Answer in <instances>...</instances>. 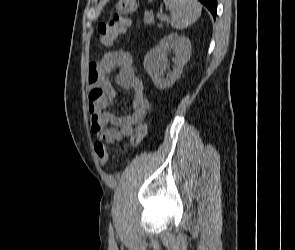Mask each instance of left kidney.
Here are the masks:
<instances>
[{
	"instance_id": "1",
	"label": "left kidney",
	"mask_w": 295,
	"mask_h": 250,
	"mask_svg": "<svg viewBox=\"0 0 295 250\" xmlns=\"http://www.w3.org/2000/svg\"><path fill=\"white\" fill-rule=\"evenodd\" d=\"M191 47L189 38L172 33L146 54L144 67L157 88H168L180 77L184 65L190 58ZM169 50H173L175 53V57L172 59L175 66L173 71L167 73L166 78H163L168 63L167 52Z\"/></svg>"
}]
</instances>
